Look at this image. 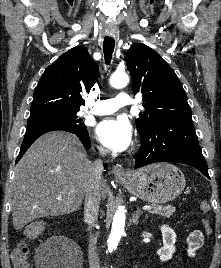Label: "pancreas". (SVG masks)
I'll return each mask as SVG.
<instances>
[{"label": "pancreas", "instance_id": "obj_1", "mask_svg": "<svg viewBox=\"0 0 221 268\" xmlns=\"http://www.w3.org/2000/svg\"><path fill=\"white\" fill-rule=\"evenodd\" d=\"M175 207L169 205V206H165V207H160V206H152V210H150L149 212L152 214H158L162 217H171L173 215V213L175 212Z\"/></svg>", "mask_w": 221, "mask_h": 268}]
</instances>
